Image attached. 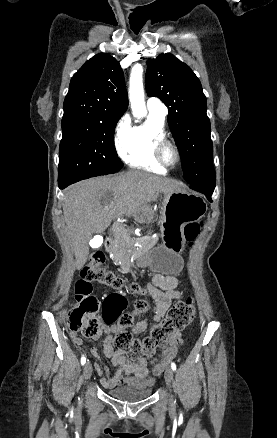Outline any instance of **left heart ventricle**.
<instances>
[{"instance_id":"obj_1","label":"left heart ventricle","mask_w":277,"mask_h":438,"mask_svg":"<svg viewBox=\"0 0 277 438\" xmlns=\"http://www.w3.org/2000/svg\"><path fill=\"white\" fill-rule=\"evenodd\" d=\"M166 159L171 164L175 161V153L171 148L166 150Z\"/></svg>"}]
</instances>
